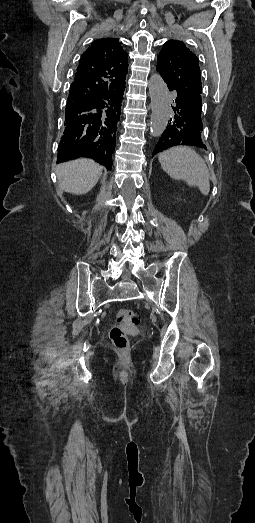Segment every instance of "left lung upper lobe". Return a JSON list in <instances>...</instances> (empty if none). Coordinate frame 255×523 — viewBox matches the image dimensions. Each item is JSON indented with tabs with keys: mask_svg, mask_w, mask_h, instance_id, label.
<instances>
[{
	"mask_svg": "<svg viewBox=\"0 0 255 523\" xmlns=\"http://www.w3.org/2000/svg\"><path fill=\"white\" fill-rule=\"evenodd\" d=\"M157 71L160 72L167 86L171 87V91L179 92L181 100L191 104L194 107V114L202 118L200 95L202 85L198 57L183 42L169 40L164 44L157 57ZM202 130L200 129V132ZM193 146L197 147L196 144H193Z\"/></svg>",
	"mask_w": 255,
	"mask_h": 523,
	"instance_id": "left-lung-upper-lobe-1",
	"label": "left lung upper lobe"
}]
</instances>
